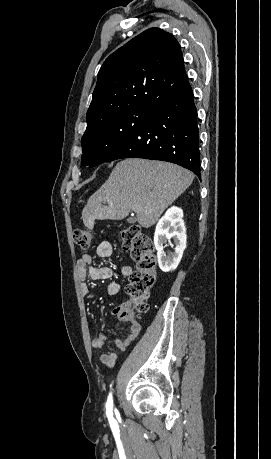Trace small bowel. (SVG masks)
Returning a JSON list of instances; mask_svg holds the SVG:
<instances>
[{
	"mask_svg": "<svg viewBox=\"0 0 271 459\" xmlns=\"http://www.w3.org/2000/svg\"><path fill=\"white\" fill-rule=\"evenodd\" d=\"M112 245L109 241H102L98 244L96 248V255L100 258H108L112 255ZM78 266V275L82 281L81 291L83 295L89 294V287L86 284V279L91 280H106L110 279L113 276V271L108 267H96L92 264V256L89 254H84L80 257L77 262ZM120 273L123 276L130 277L132 274V269L129 266H122L120 268ZM121 285L118 281H112L107 288V293L110 296L116 295L120 291ZM124 306H119L112 311V315L116 316L119 320L129 323L128 333L120 339H115L116 348L120 351H124L131 342L137 337L141 331V325L132 317L123 316ZM106 336L99 335L91 339V346L94 350L101 351L105 346ZM100 361L109 368H113L117 361V354L104 350L100 354Z\"/></svg>",
	"mask_w": 271,
	"mask_h": 459,
	"instance_id": "obj_1",
	"label": "small bowel"
}]
</instances>
